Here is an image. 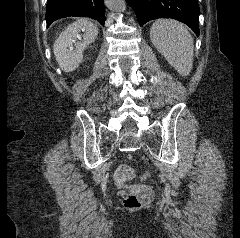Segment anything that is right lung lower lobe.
Here are the masks:
<instances>
[{
    "label": "right lung lower lobe",
    "mask_w": 240,
    "mask_h": 238,
    "mask_svg": "<svg viewBox=\"0 0 240 238\" xmlns=\"http://www.w3.org/2000/svg\"><path fill=\"white\" fill-rule=\"evenodd\" d=\"M86 16L105 23L103 0H48L46 6V22L49 27L55 20L64 17Z\"/></svg>",
    "instance_id": "98d812e1"
}]
</instances>
